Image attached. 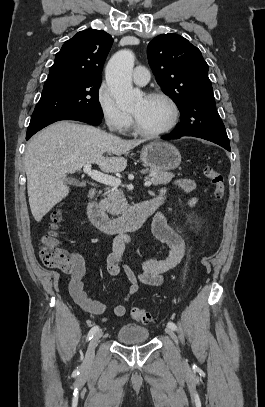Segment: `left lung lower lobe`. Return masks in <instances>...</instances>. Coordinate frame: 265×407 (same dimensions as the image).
Listing matches in <instances>:
<instances>
[{"label":"left lung lower lobe","instance_id":"0a47b994","mask_svg":"<svg viewBox=\"0 0 265 407\" xmlns=\"http://www.w3.org/2000/svg\"><path fill=\"white\" fill-rule=\"evenodd\" d=\"M180 137H183V135H175V134L172 133V134L163 136L162 138L163 139H177V138H180ZM216 144H218V145L224 147L225 149H227L228 151H230V145L229 144H223V143H216Z\"/></svg>","mask_w":265,"mask_h":407}]
</instances>
